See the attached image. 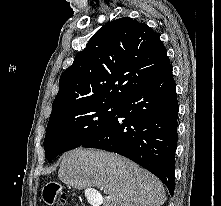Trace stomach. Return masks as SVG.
I'll use <instances>...</instances> for the list:
<instances>
[{
    "mask_svg": "<svg viewBox=\"0 0 221 206\" xmlns=\"http://www.w3.org/2000/svg\"><path fill=\"white\" fill-rule=\"evenodd\" d=\"M59 191H62V188H59ZM53 197L50 199V201H52Z\"/></svg>",
    "mask_w": 221,
    "mask_h": 206,
    "instance_id": "stomach-1",
    "label": "stomach"
}]
</instances>
